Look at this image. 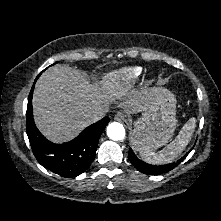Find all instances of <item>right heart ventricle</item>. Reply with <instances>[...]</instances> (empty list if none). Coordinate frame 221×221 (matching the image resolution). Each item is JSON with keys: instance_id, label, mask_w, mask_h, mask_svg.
I'll return each mask as SVG.
<instances>
[{"instance_id": "right-heart-ventricle-1", "label": "right heart ventricle", "mask_w": 221, "mask_h": 221, "mask_svg": "<svg viewBox=\"0 0 221 221\" xmlns=\"http://www.w3.org/2000/svg\"><path fill=\"white\" fill-rule=\"evenodd\" d=\"M141 74L140 67H125L108 75L105 83L109 89L119 91L135 83Z\"/></svg>"}]
</instances>
